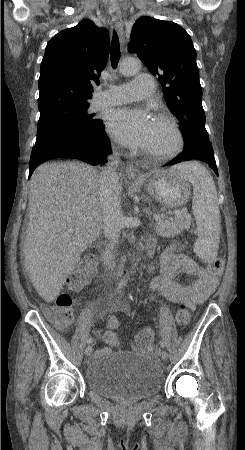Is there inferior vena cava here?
<instances>
[{"mask_svg":"<svg viewBox=\"0 0 245 450\" xmlns=\"http://www.w3.org/2000/svg\"><path fill=\"white\" fill-rule=\"evenodd\" d=\"M110 162L99 175V198L103 212L104 234L113 244L118 243L122 228L119 178L116 167L117 153L109 156Z\"/></svg>","mask_w":245,"mask_h":450,"instance_id":"602c4592","label":"inferior vena cava"}]
</instances>
